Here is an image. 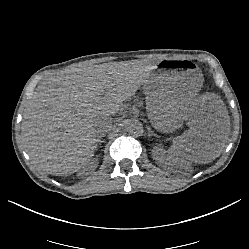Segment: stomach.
<instances>
[{
	"mask_svg": "<svg viewBox=\"0 0 249 249\" xmlns=\"http://www.w3.org/2000/svg\"><path fill=\"white\" fill-rule=\"evenodd\" d=\"M203 86L200 70L185 60L161 61L144 84L148 118L162 131L178 127Z\"/></svg>",
	"mask_w": 249,
	"mask_h": 249,
	"instance_id": "0dacf381",
	"label": "stomach"
}]
</instances>
